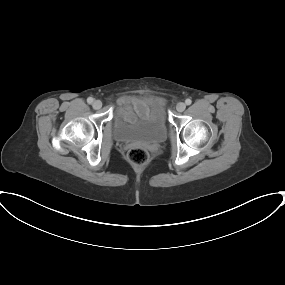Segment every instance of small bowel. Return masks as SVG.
Wrapping results in <instances>:
<instances>
[{"mask_svg": "<svg viewBox=\"0 0 285 285\" xmlns=\"http://www.w3.org/2000/svg\"><path fill=\"white\" fill-rule=\"evenodd\" d=\"M146 108H147V107H146L144 101H139V102L137 103V110H138L139 113H141V114L145 113Z\"/></svg>", "mask_w": 285, "mask_h": 285, "instance_id": "obj_1", "label": "small bowel"}]
</instances>
